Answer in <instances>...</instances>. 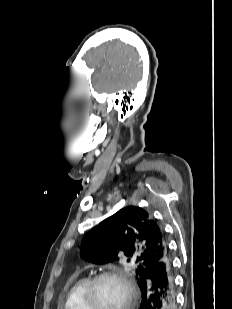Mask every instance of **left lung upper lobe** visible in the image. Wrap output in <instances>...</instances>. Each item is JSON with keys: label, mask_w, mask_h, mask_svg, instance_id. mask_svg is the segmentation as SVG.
I'll list each match as a JSON object with an SVG mask.
<instances>
[{"label": "left lung upper lobe", "mask_w": 232, "mask_h": 309, "mask_svg": "<svg viewBox=\"0 0 232 309\" xmlns=\"http://www.w3.org/2000/svg\"><path fill=\"white\" fill-rule=\"evenodd\" d=\"M168 251L161 225L140 207L128 206L100 222L83 238L81 256L94 264H108L125 255L135 265L138 285L147 271Z\"/></svg>", "instance_id": "obj_1"}]
</instances>
